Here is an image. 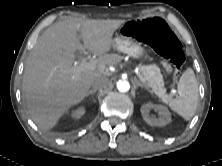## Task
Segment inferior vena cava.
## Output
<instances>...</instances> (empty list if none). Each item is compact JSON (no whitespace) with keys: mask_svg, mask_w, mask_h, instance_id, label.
<instances>
[{"mask_svg":"<svg viewBox=\"0 0 222 166\" xmlns=\"http://www.w3.org/2000/svg\"><path fill=\"white\" fill-rule=\"evenodd\" d=\"M109 83H110L109 79L103 76V77H99L95 79L92 82L91 86L96 91V90L107 88L109 86Z\"/></svg>","mask_w":222,"mask_h":166,"instance_id":"1","label":"inferior vena cava"}]
</instances>
